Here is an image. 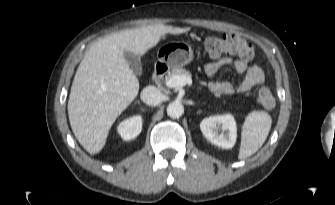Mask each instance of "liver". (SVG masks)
I'll use <instances>...</instances> for the list:
<instances>
[{
	"label": "liver",
	"instance_id": "1",
	"mask_svg": "<svg viewBox=\"0 0 335 205\" xmlns=\"http://www.w3.org/2000/svg\"><path fill=\"white\" fill-rule=\"evenodd\" d=\"M190 28L155 24L113 33L93 44L80 62L68 100V116L78 142L90 154L99 153L117 117L139 92V81L124 53L144 55L170 33Z\"/></svg>",
	"mask_w": 335,
	"mask_h": 205
}]
</instances>
